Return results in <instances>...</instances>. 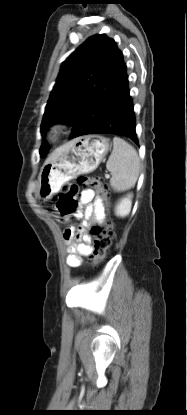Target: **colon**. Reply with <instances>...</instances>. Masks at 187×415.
<instances>
[{"label":"colon","instance_id":"1","mask_svg":"<svg viewBox=\"0 0 187 415\" xmlns=\"http://www.w3.org/2000/svg\"><path fill=\"white\" fill-rule=\"evenodd\" d=\"M78 184L83 187L91 188L102 196H105L106 194V188L102 180L98 177L80 176L78 178ZM77 193L78 185L73 184L67 187L65 191L59 195L57 211L58 219L60 221H66L77 210ZM91 234L93 236L92 262L94 265H99L107 257L111 246L114 235V223L108 221L101 225H96L92 227Z\"/></svg>","mask_w":187,"mask_h":415}]
</instances>
